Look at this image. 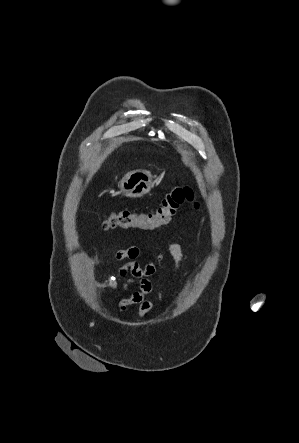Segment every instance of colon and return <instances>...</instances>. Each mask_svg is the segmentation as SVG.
<instances>
[{"mask_svg": "<svg viewBox=\"0 0 299 443\" xmlns=\"http://www.w3.org/2000/svg\"><path fill=\"white\" fill-rule=\"evenodd\" d=\"M185 203L195 202L194 192L188 186H175L163 197L159 207L150 212L122 210L107 215L102 221L104 230L115 228H137L141 230H155L168 225L177 210Z\"/></svg>", "mask_w": 299, "mask_h": 443, "instance_id": "1", "label": "colon"}]
</instances>
